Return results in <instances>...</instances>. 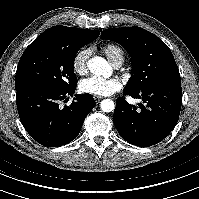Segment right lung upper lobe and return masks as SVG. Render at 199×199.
Instances as JSON below:
<instances>
[{
	"label": "right lung upper lobe",
	"mask_w": 199,
	"mask_h": 199,
	"mask_svg": "<svg viewBox=\"0 0 199 199\" xmlns=\"http://www.w3.org/2000/svg\"><path fill=\"white\" fill-rule=\"evenodd\" d=\"M99 34V30L54 26L44 31L39 37L50 38L64 44H72L76 42L90 43L95 40L99 36Z\"/></svg>",
	"instance_id": "obj_1"
}]
</instances>
